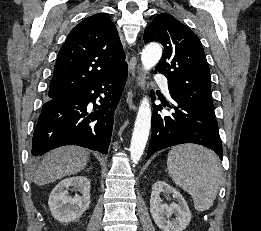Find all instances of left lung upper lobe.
Segmentation results:
<instances>
[{
    "label": "left lung upper lobe",
    "instance_id": "5c2ea615",
    "mask_svg": "<svg viewBox=\"0 0 261 231\" xmlns=\"http://www.w3.org/2000/svg\"><path fill=\"white\" fill-rule=\"evenodd\" d=\"M144 41L160 42L164 47L156 71L167 77L171 97L213 114L210 71L197 35L162 13L146 28Z\"/></svg>",
    "mask_w": 261,
    "mask_h": 231
}]
</instances>
